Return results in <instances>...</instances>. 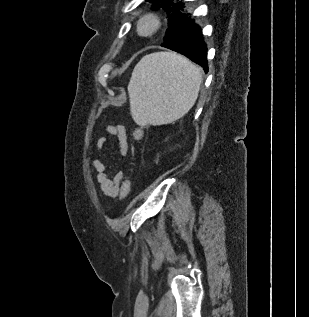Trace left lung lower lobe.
Listing matches in <instances>:
<instances>
[{
  "mask_svg": "<svg viewBox=\"0 0 309 317\" xmlns=\"http://www.w3.org/2000/svg\"><path fill=\"white\" fill-rule=\"evenodd\" d=\"M161 46L185 55L208 71L207 45L202 36L201 27L190 19L188 25Z\"/></svg>",
  "mask_w": 309,
  "mask_h": 317,
  "instance_id": "left-lung-lower-lobe-1",
  "label": "left lung lower lobe"
}]
</instances>
